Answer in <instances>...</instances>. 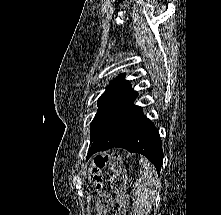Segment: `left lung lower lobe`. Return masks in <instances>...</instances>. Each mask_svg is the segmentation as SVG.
<instances>
[{"label": "left lung lower lobe", "mask_w": 221, "mask_h": 215, "mask_svg": "<svg viewBox=\"0 0 221 215\" xmlns=\"http://www.w3.org/2000/svg\"><path fill=\"white\" fill-rule=\"evenodd\" d=\"M114 147L144 155L160 174L163 163L161 140L155 125L143 115L142 107L131 106L99 134L93 140L87 159L96 152Z\"/></svg>", "instance_id": "1"}]
</instances>
